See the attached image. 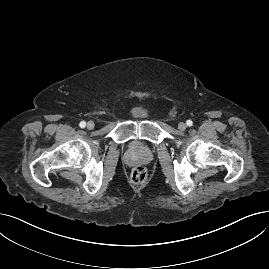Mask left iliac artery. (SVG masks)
Wrapping results in <instances>:
<instances>
[{"label":"left iliac artery","instance_id":"obj_1","mask_svg":"<svg viewBox=\"0 0 269 269\" xmlns=\"http://www.w3.org/2000/svg\"><path fill=\"white\" fill-rule=\"evenodd\" d=\"M186 124L190 127V126L193 125V122H192L191 120H187V121H186Z\"/></svg>","mask_w":269,"mask_h":269}]
</instances>
